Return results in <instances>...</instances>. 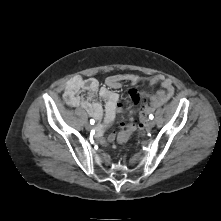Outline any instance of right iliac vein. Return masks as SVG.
<instances>
[{
	"mask_svg": "<svg viewBox=\"0 0 221 221\" xmlns=\"http://www.w3.org/2000/svg\"><path fill=\"white\" fill-rule=\"evenodd\" d=\"M85 128H86L87 130H90V129L92 128V126H91L89 123H86V124H85Z\"/></svg>",
	"mask_w": 221,
	"mask_h": 221,
	"instance_id": "1",
	"label": "right iliac vein"
}]
</instances>
